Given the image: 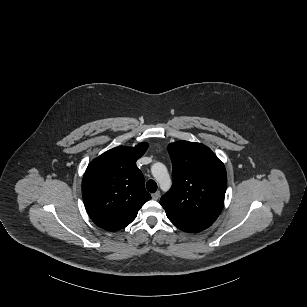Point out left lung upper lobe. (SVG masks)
I'll return each instance as SVG.
<instances>
[{
  "instance_id": "5c2ea615",
  "label": "left lung upper lobe",
  "mask_w": 307,
  "mask_h": 307,
  "mask_svg": "<svg viewBox=\"0 0 307 307\" xmlns=\"http://www.w3.org/2000/svg\"><path fill=\"white\" fill-rule=\"evenodd\" d=\"M173 185L160 203L169 220L186 232H199L219 216L227 186L223 163L205 145L178 141L168 146Z\"/></svg>"
}]
</instances>
